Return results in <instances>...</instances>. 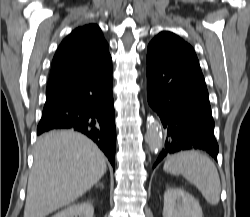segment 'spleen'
Returning <instances> with one entry per match:
<instances>
[{"mask_svg":"<svg viewBox=\"0 0 250 217\" xmlns=\"http://www.w3.org/2000/svg\"><path fill=\"white\" fill-rule=\"evenodd\" d=\"M164 171L183 175L194 184L211 205L220 201L221 184L216 166L206 155L197 151H182L167 157Z\"/></svg>","mask_w":250,"mask_h":217,"instance_id":"1","label":"spleen"}]
</instances>
